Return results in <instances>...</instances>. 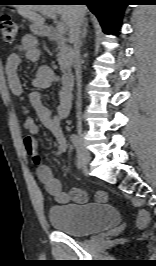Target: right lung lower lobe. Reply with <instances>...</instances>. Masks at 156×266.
I'll list each match as a JSON object with an SVG mask.
<instances>
[{
  "mask_svg": "<svg viewBox=\"0 0 156 266\" xmlns=\"http://www.w3.org/2000/svg\"><path fill=\"white\" fill-rule=\"evenodd\" d=\"M50 3H76L87 5L90 11L96 15L104 32L110 33L119 28L123 11L127 6V0H55Z\"/></svg>",
  "mask_w": 156,
  "mask_h": 266,
  "instance_id": "98d812e1",
  "label": "right lung lower lobe"
}]
</instances>
